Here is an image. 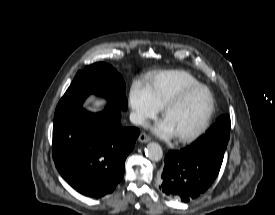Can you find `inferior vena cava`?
<instances>
[{
  "mask_svg": "<svg viewBox=\"0 0 275 215\" xmlns=\"http://www.w3.org/2000/svg\"><path fill=\"white\" fill-rule=\"evenodd\" d=\"M130 121L136 125H142L144 123V117L141 114L131 112Z\"/></svg>",
  "mask_w": 275,
  "mask_h": 215,
  "instance_id": "1",
  "label": "inferior vena cava"
}]
</instances>
